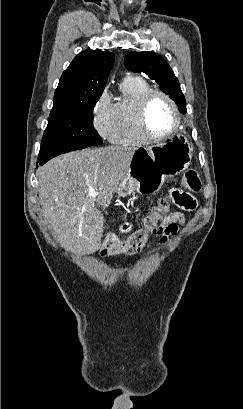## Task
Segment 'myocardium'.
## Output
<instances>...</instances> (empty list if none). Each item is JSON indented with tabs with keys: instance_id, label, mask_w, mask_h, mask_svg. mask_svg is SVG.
<instances>
[{
	"instance_id": "myocardium-1",
	"label": "myocardium",
	"mask_w": 243,
	"mask_h": 409,
	"mask_svg": "<svg viewBox=\"0 0 243 409\" xmlns=\"http://www.w3.org/2000/svg\"><path fill=\"white\" fill-rule=\"evenodd\" d=\"M155 96H160L162 98H164L169 105L172 108L174 117H175V126L174 128L164 134V135H155L153 134L149 127H148V123H147V109H148V105L151 101V99ZM136 123H137V127L140 131V133L142 134V136L147 140V141H152V142H156V141H161L167 138H170L172 136H174L180 129L181 126V115H180V111L178 109V106L176 104V102L165 92L161 91V90H156V89H151L149 91H147L138 101L137 106H136Z\"/></svg>"
}]
</instances>
